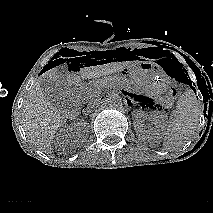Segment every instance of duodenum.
Returning a JSON list of instances; mask_svg holds the SVG:
<instances>
[{
  "instance_id": "1",
  "label": "duodenum",
  "mask_w": 213,
  "mask_h": 213,
  "mask_svg": "<svg viewBox=\"0 0 213 213\" xmlns=\"http://www.w3.org/2000/svg\"><path fill=\"white\" fill-rule=\"evenodd\" d=\"M70 93H77V87L76 86H72L70 88ZM101 102V100H96L95 102L93 103H86L82 106V110H87V109H90L96 105H98L99 103Z\"/></svg>"
}]
</instances>
